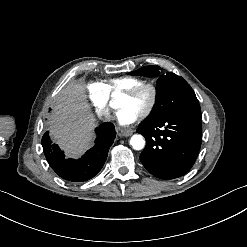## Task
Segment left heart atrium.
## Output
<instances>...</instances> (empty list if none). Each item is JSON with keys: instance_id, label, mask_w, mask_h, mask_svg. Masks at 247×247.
<instances>
[{"instance_id": "1", "label": "left heart atrium", "mask_w": 247, "mask_h": 247, "mask_svg": "<svg viewBox=\"0 0 247 247\" xmlns=\"http://www.w3.org/2000/svg\"><path fill=\"white\" fill-rule=\"evenodd\" d=\"M141 116L142 111L140 108L128 105L117 115V121L120 125L126 126L135 123Z\"/></svg>"}]
</instances>
